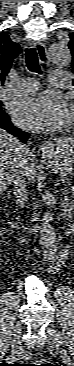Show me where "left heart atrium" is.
<instances>
[{"mask_svg": "<svg viewBox=\"0 0 74 366\" xmlns=\"http://www.w3.org/2000/svg\"><path fill=\"white\" fill-rule=\"evenodd\" d=\"M15 122L34 130H57L69 118V106L55 92H40L18 99L11 108Z\"/></svg>", "mask_w": 74, "mask_h": 366, "instance_id": "left-heart-atrium-1", "label": "left heart atrium"}]
</instances>
